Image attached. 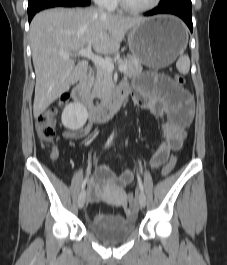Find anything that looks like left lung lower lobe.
<instances>
[{"label": "left lung lower lobe", "mask_w": 227, "mask_h": 265, "mask_svg": "<svg viewBox=\"0 0 227 265\" xmlns=\"http://www.w3.org/2000/svg\"><path fill=\"white\" fill-rule=\"evenodd\" d=\"M192 7L186 6H166V7H157L149 12H146L145 16H151L155 14H174L180 17L189 27L190 31L193 30L192 24Z\"/></svg>", "instance_id": "0a47b994"}]
</instances>
